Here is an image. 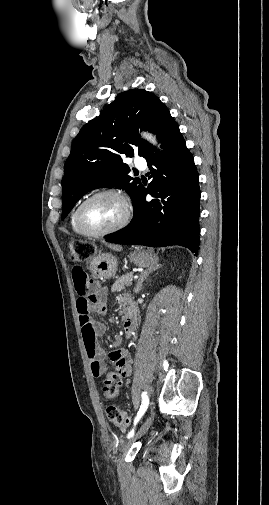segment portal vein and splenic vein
Segmentation results:
<instances>
[{
  "instance_id": "portal-vein-and-splenic-vein-1",
  "label": "portal vein and splenic vein",
  "mask_w": 269,
  "mask_h": 505,
  "mask_svg": "<svg viewBox=\"0 0 269 505\" xmlns=\"http://www.w3.org/2000/svg\"><path fill=\"white\" fill-rule=\"evenodd\" d=\"M134 278H135V279H137V278H138V276H135ZM130 285H131V283H130Z\"/></svg>"
}]
</instances>
